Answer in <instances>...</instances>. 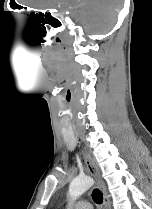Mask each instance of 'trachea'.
<instances>
[{
    "instance_id": "1",
    "label": "trachea",
    "mask_w": 152,
    "mask_h": 209,
    "mask_svg": "<svg viewBox=\"0 0 152 209\" xmlns=\"http://www.w3.org/2000/svg\"><path fill=\"white\" fill-rule=\"evenodd\" d=\"M92 198L95 203L101 204L103 201L102 192L99 189H94L92 192Z\"/></svg>"
}]
</instances>
